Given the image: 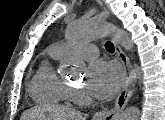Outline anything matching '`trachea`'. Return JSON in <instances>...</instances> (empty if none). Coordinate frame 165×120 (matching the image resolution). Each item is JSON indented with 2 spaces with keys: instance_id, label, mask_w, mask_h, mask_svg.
<instances>
[{
  "instance_id": "obj_1",
  "label": "trachea",
  "mask_w": 165,
  "mask_h": 120,
  "mask_svg": "<svg viewBox=\"0 0 165 120\" xmlns=\"http://www.w3.org/2000/svg\"><path fill=\"white\" fill-rule=\"evenodd\" d=\"M105 49L109 52V53H113L115 50H114V45L111 41H107L105 43Z\"/></svg>"
}]
</instances>
